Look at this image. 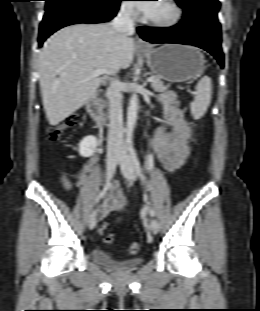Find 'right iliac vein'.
Instances as JSON below:
<instances>
[{
	"mask_svg": "<svg viewBox=\"0 0 260 311\" xmlns=\"http://www.w3.org/2000/svg\"><path fill=\"white\" fill-rule=\"evenodd\" d=\"M118 146H113L110 148L107 155V177L112 175L115 164L118 162ZM97 223V209L94 210L88 218V227L93 229Z\"/></svg>",
	"mask_w": 260,
	"mask_h": 311,
	"instance_id": "63e3f726",
	"label": "right iliac vein"
}]
</instances>
